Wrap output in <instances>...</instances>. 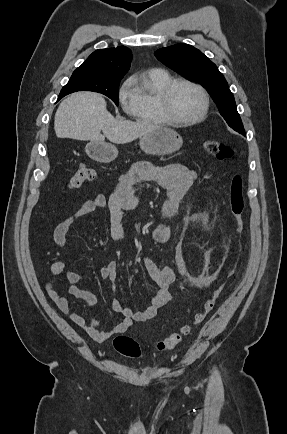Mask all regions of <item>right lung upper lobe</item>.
Instances as JSON below:
<instances>
[{"label": "right lung upper lobe", "mask_w": 287, "mask_h": 434, "mask_svg": "<svg viewBox=\"0 0 287 434\" xmlns=\"http://www.w3.org/2000/svg\"><path fill=\"white\" fill-rule=\"evenodd\" d=\"M131 60V51L125 46L99 49L93 52L74 73L84 76L122 79L130 68Z\"/></svg>", "instance_id": "right-lung-upper-lobe-1"}]
</instances>
